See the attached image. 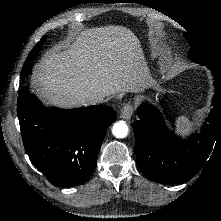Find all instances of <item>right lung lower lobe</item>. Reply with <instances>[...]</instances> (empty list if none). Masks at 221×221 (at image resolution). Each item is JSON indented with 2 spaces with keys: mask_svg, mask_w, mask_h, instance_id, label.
<instances>
[{
  "mask_svg": "<svg viewBox=\"0 0 221 221\" xmlns=\"http://www.w3.org/2000/svg\"><path fill=\"white\" fill-rule=\"evenodd\" d=\"M17 113L31 162L57 187L87 182L106 131L117 119L115 111L105 105L46 108L26 87L19 92Z\"/></svg>",
  "mask_w": 221,
  "mask_h": 221,
  "instance_id": "right-lung-lower-lobe-1",
  "label": "right lung lower lobe"
}]
</instances>
